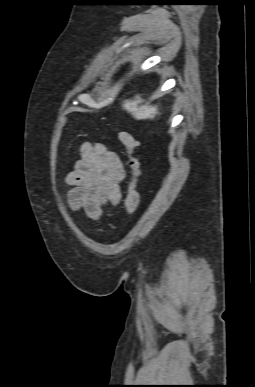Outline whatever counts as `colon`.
<instances>
[{
    "instance_id": "colon-1",
    "label": "colon",
    "mask_w": 255,
    "mask_h": 387,
    "mask_svg": "<svg viewBox=\"0 0 255 387\" xmlns=\"http://www.w3.org/2000/svg\"><path fill=\"white\" fill-rule=\"evenodd\" d=\"M120 142L125 148L127 154V166L130 170V181L128 184L127 195L125 199V208L128 215H132L139 205V193L137 191V180L140 175L139 161L135 157L134 152L137 147L136 138L126 132L121 131L118 135Z\"/></svg>"
}]
</instances>
